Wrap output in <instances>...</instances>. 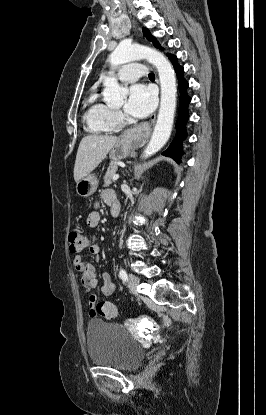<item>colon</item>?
<instances>
[{
    "instance_id": "colon-1",
    "label": "colon",
    "mask_w": 266,
    "mask_h": 415,
    "mask_svg": "<svg viewBox=\"0 0 266 415\" xmlns=\"http://www.w3.org/2000/svg\"><path fill=\"white\" fill-rule=\"evenodd\" d=\"M68 241L70 252L77 253L86 248L88 237L82 230L76 229L70 232ZM93 313L107 319H113L119 315V309L110 302H100L94 306Z\"/></svg>"
}]
</instances>
